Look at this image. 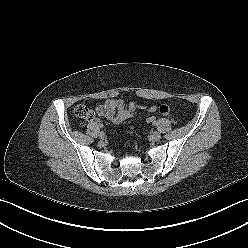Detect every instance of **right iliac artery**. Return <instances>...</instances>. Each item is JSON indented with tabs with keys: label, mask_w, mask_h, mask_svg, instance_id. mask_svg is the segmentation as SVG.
<instances>
[{
	"label": "right iliac artery",
	"mask_w": 248,
	"mask_h": 248,
	"mask_svg": "<svg viewBox=\"0 0 248 248\" xmlns=\"http://www.w3.org/2000/svg\"><path fill=\"white\" fill-rule=\"evenodd\" d=\"M103 127V125H100V128H102Z\"/></svg>",
	"instance_id": "obj_1"
}]
</instances>
